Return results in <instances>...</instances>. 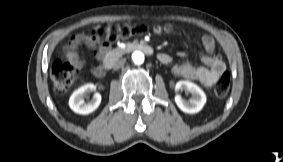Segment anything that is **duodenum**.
Segmentation results:
<instances>
[{
    "mask_svg": "<svg viewBox=\"0 0 283 162\" xmlns=\"http://www.w3.org/2000/svg\"><path fill=\"white\" fill-rule=\"evenodd\" d=\"M134 50L142 51L148 55L153 53V48L148 43L142 41H132L110 50V55L108 56L107 61L103 62V64L110 71L114 66V61H116L123 54Z\"/></svg>",
    "mask_w": 283,
    "mask_h": 162,
    "instance_id": "obj_1",
    "label": "duodenum"
}]
</instances>
